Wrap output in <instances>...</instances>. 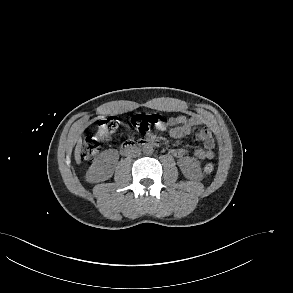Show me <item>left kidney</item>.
I'll use <instances>...</instances> for the list:
<instances>
[{
  "label": "left kidney",
  "instance_id": "obj_1",
  "mask_svg": "<svg viewBox=\"0 0 293 293\" xmlns=\"http://www.w3.org/2000/svg\"><path fill=\"white\" fill-rule=\"evenodd\" d=\"M182 173L185 177L194 180L202 178L200 162L194 157H184L178 161Z\"/></svg>",
  "mask_w": 293,
  "mask_h": 293
}]
</instances>
